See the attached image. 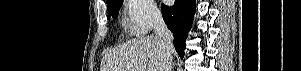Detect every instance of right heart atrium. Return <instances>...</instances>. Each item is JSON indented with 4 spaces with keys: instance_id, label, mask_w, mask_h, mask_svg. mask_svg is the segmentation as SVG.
I'll return each mask as SVG.
<instances>
[{
    "instance_id": "1",
    "label": "right heart atrium",
    "mask_w": 301,
    "mask_h": 71,
    "mask_svg": "<svg viewBox=\"0 0 301 71\" xmlns=\"http://www.w3.org/2000/svg\"><path fill=\"white\" fill-rule=\"evenodd\" d=\"M127 25L135 35H145L159 21V12L152 0H127Z\"/></svg>"
}]
</instances>
